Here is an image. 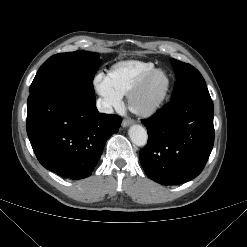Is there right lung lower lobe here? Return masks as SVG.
Listing matches in <instances>:
<instances>
[{
	"label": "right lung lower lobe",
	"mask_w": 247,
	"mask_h": 247,
	"mask_svg": "<svg viewBox=\"0 0 247 247\" xmlns=\"http://www.w3.org/2000/svg\"><path fill=\"white\" fill-rule=\"evenodd\" d=\"M27 134L42 166L70 179L91 175L107 139L122 119L99 113L95 96L60 86L28 97Z\"/></svg>",
	"instance_id": "obj_1"
}]
</instances>
